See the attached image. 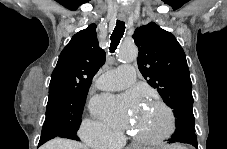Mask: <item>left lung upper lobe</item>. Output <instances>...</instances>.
I'll return each instance as SVG.
<instances>
[{
	"mask_svg": "<svg viewBox=\"0 0 227 149\" xmlns=\"http://www.w3.org/2000/svg\"><path fill=\"white\" fill-rule=\"evenodd\" d=\"M138 68L173 109L175 133L194 132L192 83L185 53L173 34L150 22L135 30Z\"/></svg>",
	"mask_w": 227,
	"mask_h": 149,
	"instance_id": "left-lung-upper-lobe-1",
	"label": "left lung upper lobe"
}]
</instances>
